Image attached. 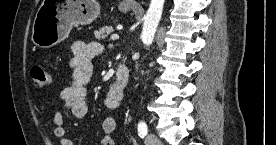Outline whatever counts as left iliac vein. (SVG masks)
<instances>
[{
	"label": "left iliac vein",
	"mask_w": 276,
	"mask_h": 145,
	"mask_svg": "<svg viewBox=\"0 0 276 145\" xmlns=\"http://www.w3.org/2000/svg\"><path fill=\"white\" fill-rule=\"evenodd\" d=\"M146 145H161L160 139L153 133H148L145 138Z\"/></svg>",
	"instance_id": "left-iliac-vein-1"
}]
</instances>
